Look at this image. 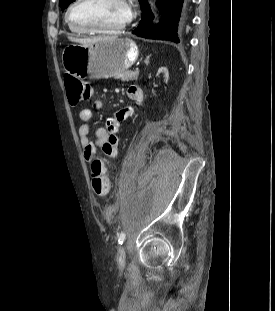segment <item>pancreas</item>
I'll return each instance as SVG.
<instances>
[{"label": "pancreas", "instance_id": "obj_1", "mask_svg": "<svg viewBox=\"0 0 275 311\" xmlns=\"http://www.w3.org/2000/svg\"><path fill=\"white\" fill-rule=\"evenodd\" d=\"M139 73L135 72V71H125L123 73H121L120 75H118L116 78L117 79H121L122 81H133V80H137Z\"/></svg>", "mask_w": 275, "mask_h": 311}]
</instances>
